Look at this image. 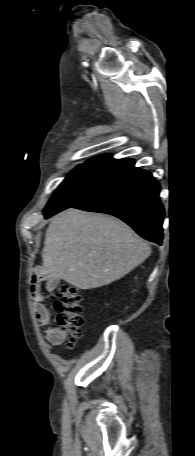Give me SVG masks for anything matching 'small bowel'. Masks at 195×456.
<instances>
[{
  "label": "small bowel",
  "mask_w": 195,
  "mask_h": 456,
  "mask_svg": "<svg viewBox=\"0 0 195 456\" xmlns=\"http://www.w3.org/2000/svg\"><path fill=\"white\" fill-rule=\"evenodd\" d=\"M44 281V290L52 292L56 286V279L51 275L43 276L40 278H33L30 285V293L34 299V312L37 320L42 324L48 325L50 323V312L44 304L45 297L40 287V282ZM46 339L55 345L61 344L65 335L62 331L56 328H47L44 332Z\"/></svg>",
  "instance_id": "1"
}]
</instances>
